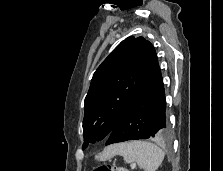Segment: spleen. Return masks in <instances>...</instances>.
Here are the masks:
<instances>
[{
	"instance_id": "1",
	"label": "spleen",
	"mask_w": 223,
	"mask_h": 171,
	"mask_svg": "<svg viewBox=\"0 0 223 171\" xmlns=\"http://www.w3.org/2000/svg\"><path fill=\"white\" fill-rule=\"evenodd\" d=\"M118 153L125 163H137L144 171H156L164 159V152L157 145L145 141L120 144Z\"/></svg>"
}]
</instances>
